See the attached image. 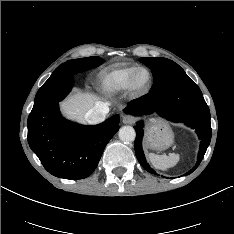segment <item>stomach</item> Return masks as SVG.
Instances as JSON below:
<instances>
[{"label": "stomach", "instance_id": "0dacf381", "mask_svg": "<svg viewBox=\"0 0 234 234\" xmlns=\"http://www.w3.org/2000/svg\"><path fill=\"white\" fill-rule=\"evenodd\" d=\"M173 141L174 133L166 122L151 120L145 137V144L148 148L165 150L173 144Z\"/></svg>", "mask_w": 234, "mask_h": 234}]
</instances>
